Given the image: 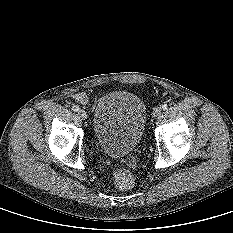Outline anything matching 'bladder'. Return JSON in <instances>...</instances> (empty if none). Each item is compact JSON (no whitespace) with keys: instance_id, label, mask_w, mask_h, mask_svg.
I'll list each match as a JSON object with an SVG mask.
<instances>
[{"instance_id":"31cf9c89","label":"bladder","mask_w":233,"mask_h":233,"mask_svg":"<svg viewBox=\"0 0 233 233\" xmlns=\"http://www.w3.org/2000/svg\"><path fill=\"white\" fill-rule=\"evenodd\" d=\"M147 119L143 101L135 94L114 91L102 95L93 114L99 147L112 157H123L139 144Z\"/></svg>"}]
</instances>
